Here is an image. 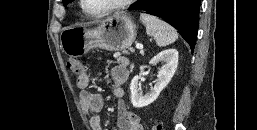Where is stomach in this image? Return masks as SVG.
Masks as SVG:
<instances>
[{
	"label": "stomach",
	"mask_w": 257,
	"mask_h": 130,
	"mask_svg": "<svg viewBox=\"0 0 257 130\" xmlns=\"http://www.w3.org/2000/svg\"><path fill=\"white\" fill-rule=\"evenodd\" d=\"M137 35V26L126 14H117L96 28L65 27L60 34V48L70 57H80L91 49L118 51L129 48Z\"/></svg>",
	"instance_id": "stomach-1"
}]
</instances>
